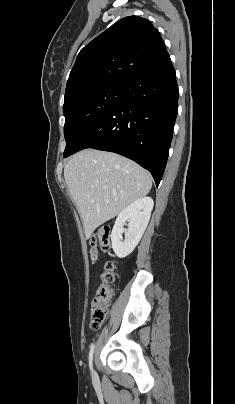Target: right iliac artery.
<instances>
[{
    "label": "right iliac artery",
    "mask_w": 235,
    "mask_h": 404,
    "mask_svg": "<svg viewBox=\"0 0 235 404\" xmlns=\"http://www.w3.org/2000/svg\"><path fill=\"white\" fill-rule=\"evenodd\" d=\"M94 347H95V345H94V344H91V345H90V352H89V366H90L91 371H92V360H93V352H94Z\"/></svg>",
    "instance_id": "obj_1"
}]
</instances>
